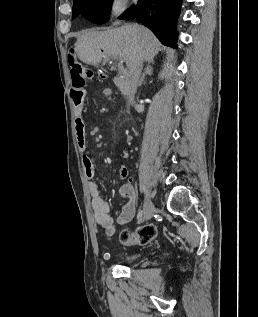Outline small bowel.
Here are the masks:
<instances>
[{"label": "small bowel", "mask_w": 258, "mask_h": 317, "mask_svg": "<svg viewBox=\"0 0 258 317\" xmlns=\"http://www.w3.org/2000/svg\"><path fill=\"white\" fill-rule=\"evenodd\" d=\"M87 120L83 109H80L75 118V134L77 144L82 152L87 149ZM83 168L86 177L89 179L88 189L91 196V207L94 213L96 223L102 227L107 236H114L117 232V226L130 222L135 216V200L134 189L130 182H125L121 185L119 193L121 197L127 199V202L122 206V209L114 220L109 212L110 206L105 201L99 189L97 182L93 181L95 176V168L91 158L88 155H84L82 159ZM120 179H125L129 176V171L126 166H121L118 171Z\"/></svg>", "instance_id": "c3829d8e"}]
</instances>
